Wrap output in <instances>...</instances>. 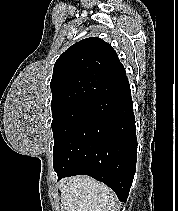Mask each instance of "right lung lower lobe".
I'll use <instances>...</instances> for the list:
<instances>
[{
	"label": "right lung lower lobe",
	"mask_w": 178,
	"mask_h": 211,
	"mask_svg": "<svg viewBox=\"0 0 178 211\" xmlns=\"http://www.w3.org/2000/svg\"><path fill=\"white\" fill-rule=\"evenodd\" d=\"M58 180L89 175L126 201L136 169L137 139L129 84L99 99L53 153Z\"/></svg>",
	"instance_id": "right-lung-lower-lobe-1"
}]
</instances>
